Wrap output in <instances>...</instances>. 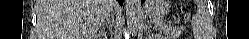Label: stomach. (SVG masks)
Wrapping results in <instances>:
<instances>
[{
	"label": "stomach",
	"mask_w": 249,
	"mask_h": 39,
	"mask_svg": "<svg viewBox=\"0 0 249 39\" xmlns=\"http://www.w3.org/2000/svg\"><path fill=\"white\" fill-rule=\"evenodd\" d=\"M169 3L165 0H149L145 5V12L157 19H162L169 11Z\"/></svg>",
	"instance_id": "0dacf381"
}]
</instances>
